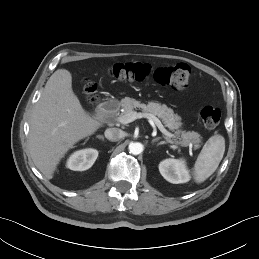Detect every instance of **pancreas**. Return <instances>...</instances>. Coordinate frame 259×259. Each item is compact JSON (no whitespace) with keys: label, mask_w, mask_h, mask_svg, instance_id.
<instances>
[{"label":"pancreas","mask_w":259,"mask_h":259,"mask_svg":"<svg viewBox=\"0 0 259 259\" xmlns=\"http://www.w3.org/2000/svg\"><path fill=\"white\" fill-rule=\"evenodd\" d=\"M119 107H121L124 112L123 114H127L134 109H142L145 113L152 114L161 119L163 124L168 127L170 130H177L176 135H174V141H171L175 144H179L181 146H193L194 149H198L202 142L200 134L194 131H180L178 128L181 126V118L171 108H168L166 105H162L158 102H148V104L141 103L140 101L125 97L119 103ZM112 115H117V112H113ZM169 140V139H168ZM170 141V140H169Z\"/></svg>","instance_id":"cf45deb5"}]
</instances>
